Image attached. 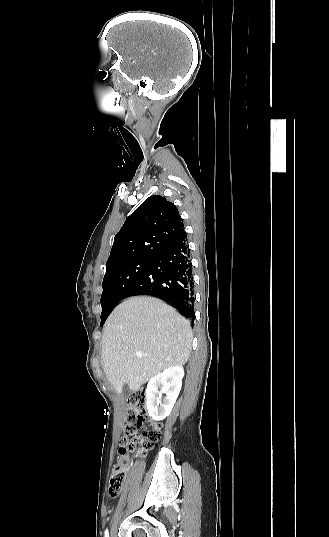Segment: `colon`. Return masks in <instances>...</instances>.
<instances>
[{
    "label": "colon",
    "mask_w": 329,
    "mask_h": 537,
    "mask_svg": "<svg viewBox=\"0 0 329 537\" xmlns=\"http://www.w3.org/2000/svg\"><path fill=\"white\" fill-rule=\"evenodd\" d=\"M128 415L120 439L118 452L120 458L114 466L109 483V494H120L125 478V459L128 452L138 449H150L161 438V424L152 420L146 410L147 395L142 389L129 395L127 399Z\"/></svg>",
    "instance_id": "obj_1"
}]
</instances>
